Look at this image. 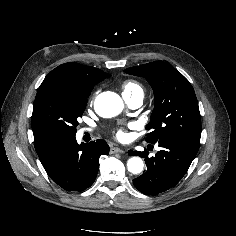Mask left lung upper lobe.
<instances>
[{
    "label": "left lung upper lobe",
    "instance_id": "obj_1",
    "mask_svg": "<svg viewBox=\"0 0 236 236\" xmlns=\"http://www.w3.org/2000/svg\"><path fill=\"white\" fill-rule=\"evenodd\" d=\"M131 75L145 77L154 92L155 107L146 129V141L181 139L200 143L201 117L194 89L174 67L155 61L125 69Z\"/></svg>",
    "mask_w": 236,
    "mask_h": 236
}]
</instances>
